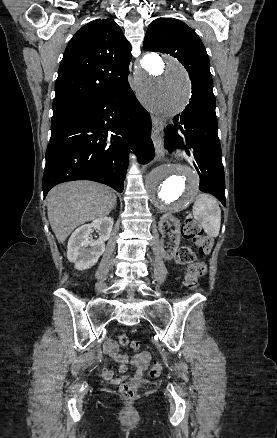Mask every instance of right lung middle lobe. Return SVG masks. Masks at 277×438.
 <instances>
[{"label": "right lung middle lobe", "mask_w": 277, "mask_h": 438, "mask_svg": "<svg viewBox=\"0 0 277 438\" xmlns=\"http://www.w3.org/2000/svg\"><path fill=\"white\" fill-rule=\"evenodd\" d=\"M67 112L68 111H53L52 122L58 119L59 117H61L62 115L66 114Z\"/></svg>", "instance_id": "dd1d6c3e"}]
</instances>
